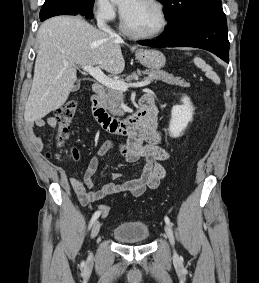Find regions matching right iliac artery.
Returning a JSON list of instances; mask_svg holds the SVG:
<instances>
[{
  "mask_svg": "<svg viewBox=\"0 0 259 283\" xmlns=\"http://www.w3.org/2000/svg\"><path fill=\"white\" fill-rule=\"evenodd\" d=\"M100 216V211H96L92 218H91V221H90V224H89V229L91 228V226L93 225V223L97 220V218Z\"/></svg>",
  "mask_w": 259,
  "mask_h": 283,
  "instance_id": "obj_1",
  "label": "right iliac artery"
}]
</instances>
